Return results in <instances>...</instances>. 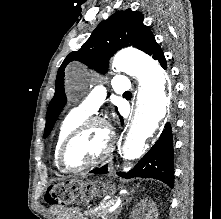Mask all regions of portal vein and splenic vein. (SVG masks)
Returning <instances> with one entry per match:
<instances>
[{
  "instance_id": "1",
  "label": "portal vein and splenic vein",
  "mask_w": 221,
  "mask_h": 219,
  "mask_svg": "<svg viewBox=\"0 0 221 219\" xmlns=\"http://www.w3.org/2000/svg\"><path fill=\"white\" fill-rule=\"evenodd\" d=\"M117 207H118L117 204L113 205L112 207L109 208V212L115 211L117 209Z\"/></svg>"
}]
</instances>
